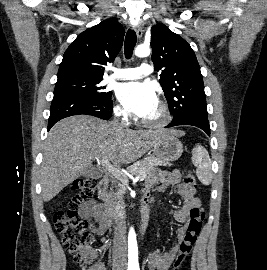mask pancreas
<instances>
[{"label":"pancreas","instance_id":"obj_1","mask_svg":"<svg viewBox=\"0 0 267 270\" xmlns=\"http://www.w3.org/2000/svg\"><path fill=\"white\" fill-rule=\"evenodd\" d=\"M156 166H171L170 163L168 162H164L163 160L154 157V156H149V157H145L144 159L134 163L133 165H131L130 167H128V172L131 173L132 175H145V177L152 171L154 170V168ZM117 193H115V195H117L118 197L123 195L125 193L126 190V182L120 180L117 183V187H116Z\"/></svg>","mask_w":267,"mask_h":270}]
</instances>
